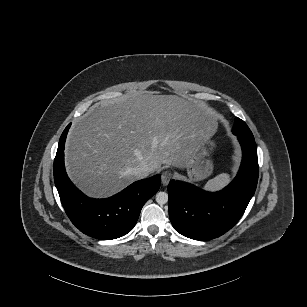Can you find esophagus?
Masks as SVG:
<instances>
[{
    "label": "esophagus",
    "mask_w": 307,
    "mask_h": 307,
    "mask_svg": "<svg viewBox=\"0 0 307 307\" xmlns=\"http://www.w3.org/2000/svg\"><path fill=\"white\" fill-rule=\"evenodd\" d=\"M172 177V173L170 171H164L161 175V181L163 185H167Z\"/></svg>",
    "instance_id": "1"
}]
</instances>
